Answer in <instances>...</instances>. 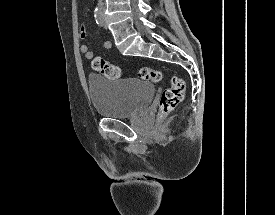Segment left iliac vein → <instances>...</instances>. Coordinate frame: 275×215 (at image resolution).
I'll use <instances>...</instances> for the list:
<instances>
[{
  "label": "left iliac vein",
  "mask_w": 275,
  "mask_h": 215,
  "mask_svg": "<svg viewBox=\"0 0 275 215\" xmlns=\"http://www.w3.org/2000/svg\"><path fill=\"white\" fill-rule=\"evenodd\" d=\"M104 10H105V8L101 7V11L103 12ZM103 26H104V28H107L105 18H103Z\"/></svg>",
  "instance_id": "4c4485c4"
}]
</instances>
